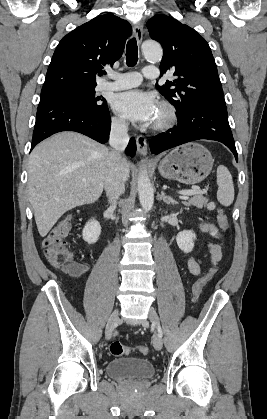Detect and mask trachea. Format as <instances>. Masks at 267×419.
Instances as JSON below:
<instances>
[{"label":"trachea","mask_w":267,"mask_h":419,"mask_svg":"<svg viewBox=\"0 0 267 419\" xmlns=\"http://www.w3.org/2000/svg\"><path fill=\"white\" fill-rule=\"evenodd\" d=\"M138 61V46L135 38L130 39L126 46V64L128 66L136 65Z\"/></svg>","instance_id":"trachea-1"}]
</instances>
